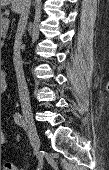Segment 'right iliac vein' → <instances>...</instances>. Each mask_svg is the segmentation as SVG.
Here are the masks:
<instances>
[{"label":"right iliac vein","mask_w":109,"mask_h":170,"mask_svg":"<svg viewBox=\"0 0 109 170\" xmlns=\"http://www.w3.org/2000/svg\"><path fill=\"white\" fill-rule=\"evenodd\" d=\"M24 119L29 127V137L34 145V154H38L40 149V139L37 133L36 125L30 110L23 111Z\"/></svg>","instance_id":"obj_1"}]
</instances>
